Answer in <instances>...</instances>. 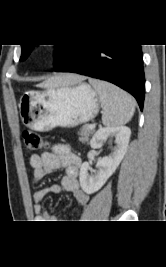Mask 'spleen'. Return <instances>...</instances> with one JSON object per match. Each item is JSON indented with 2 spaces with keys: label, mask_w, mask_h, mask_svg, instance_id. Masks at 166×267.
I'll return each instance as SVG.
<instances>
[{
  "label": "spleen",
  "mask_w": 166,
  "mask_h": 267,
  "mask_svg": "<svg viewBox=\"0 0 166 267\" xmlns=\"http://www.w3.org/2000/svg\"><path fill=\"white\" fill-rule=\"evenodd\" d=\"M89 82L99 95L105 126H122L131 120L136 106L132 96L105 81L90 79Z\"/></svg>",
  "instance_id": "obj_1"
}]
</instances>
